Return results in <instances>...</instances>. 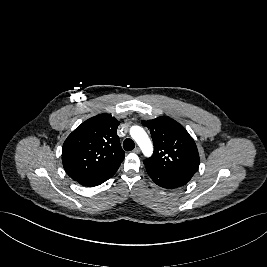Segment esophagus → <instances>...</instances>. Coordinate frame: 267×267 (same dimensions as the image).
Instances as JSON below:
<instances>
[{"label": "esophagus", "instance_id": "esophagus-1", "mask_svg": "<svg viewBox=\"0 0 267 267\" xmlns=\"http://www.w3.org/2000/svg\"><path fill=\"white\" fill-rule=\"evenodd\" d=\"M134 153H140V148L139 147H135L134 150H133Z\"/></svg>", "mask_w": 267, "mask_h": 267}]
</instances>
